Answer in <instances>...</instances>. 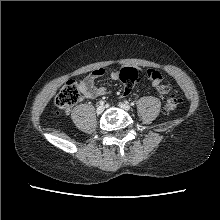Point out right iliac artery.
<instances>
[{
  "instance_id": "obj_1",
  "label": "right iliac artery",
  "mask_w": 220,
  "mask_h": 220,
  "mask_svg": "<svg viewBox=\"0 0 220 220\" xmlns=\"http://www.w3.org/2000/svg\"><path fill=\"white\" fill-rule=\"evenodd\" d=\"M99 104H100V105H103V104H104V101H100Z\"/></svg>"
}]
</instances>
